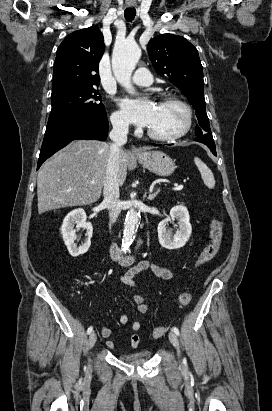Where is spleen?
Listing matches in <instances>:
<instances>
[{"label": "spleen", "mask_w": 272, "mask_h": 411, "mask_svg": "<svg viewBox=\"0 0 272 411\" xmlns=\"http://www.w3.org/2000/svg\"><path fill=\"white\" fill-rule=\"evenodd\" d=\"M194 163L197 166L201 174V178L204 181V184L210 189L214 188L215 179H214L213 173L210 170V168H208V166L203 161H201L198 157L194 158Z\"/></svg>", "instance_id": "spleen-1"}]
</instances>
